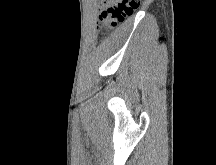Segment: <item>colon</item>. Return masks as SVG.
<instances>
[{"mask_svg": "<svg viewBox=\"0 0 216 165\" xmlns=\"http://www.w3.org/2000/svg\"><path fill=\"white\" fill-rule=\"evenodd\" d=\"M108 6L98 16V25L114 28L130 17L140 6L141 0H107Z\"/></svg>", "mask_w": 216, "mask_h": 165, "instance_id": "1", "label": "colon"}]
</instances>
